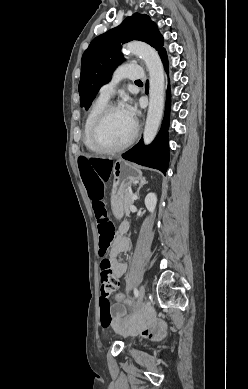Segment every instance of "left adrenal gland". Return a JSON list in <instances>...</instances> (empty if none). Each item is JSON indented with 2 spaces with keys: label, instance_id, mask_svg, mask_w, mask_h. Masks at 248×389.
<instances>
[{
  "label": "left adrenal gland",
  "instance_id": "obj_1",
  "mask_svg": "<svg viewBox=\"0 0 248 389\" xmlns=\"http://www.w3.org/2000/svg\"><path fill=\"white\" fill-rule=\"evenodd\" d=\"M146 183H148V182L146 181L145 178L141 179L140 184H139V187H138V189H137V191H136L137 198H138L140 189H141V188L143 187V185H145Z\"/></svg>",
  "mask_w": 248,
  "mask_h": 389
}]
</instances>
